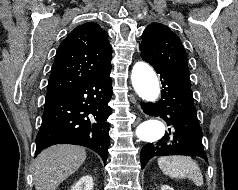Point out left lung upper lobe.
I'll return each instance as SVG.
<instances>
[{
  "instance_id": "5c2ea615",
  "label": "left lung upper lobe",
  "mask_w": 238,
  "mask_h": 190,
  "mask_svg": "<svg viewBox=\"0 0 238 190\" xmlns=\"http://www.w3.org/2000/svg\"><path fill=\"white\" fill-rule=\"evenodd\" d=\"M141 57L151 63L188 71L186 51L169 27L152 23L143 32Z\"/></svg>"
}]
</instances>
